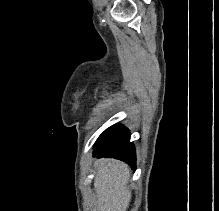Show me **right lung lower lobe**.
<instances>
[{
    "instance_id": "right-lung-lower-lobe-1",
    "label": "right lung lower lobe",
    "mask_w": 219,
    "mask_h": 211,
    "mask_svg": "<svg viewBox=\"0 0 219 211\" xmlns=\"http://www.w3.org/2000/svg\"><path fill=\"white\" fill-rule=\"evenodd\" d=\"M94 156L116 158L128 163L135 170L136 157L130 133L122 125L111 126L98 138Z\"/></svg>"
}]
</instances>
